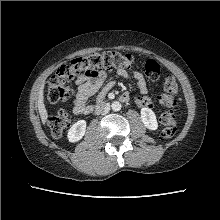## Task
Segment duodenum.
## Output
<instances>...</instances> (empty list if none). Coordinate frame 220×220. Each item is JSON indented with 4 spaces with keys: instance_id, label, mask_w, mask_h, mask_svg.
I'll use <instances>...</instances> for the list:
<instances>
[{
    "instance_id": "obj_1",
    "label": "duodenum",
    "mask_w": 220,
    "mask_h": 220,
    "mask_svg": "<svg viewBox=\"0 0 220 220\" xmlns=\"http://www.w3.org/2000/svg\"><path fill=\"white\" fill-rule=\"evenodd\" d=\"M119 100L122 102H127L129 101V96L128 94L124 93L122 95H120ZM106 107V103L102 100L100 102L97 103L95 109H94V113H99L101 110H103Z\"/></svg>"
}]
</instances>
